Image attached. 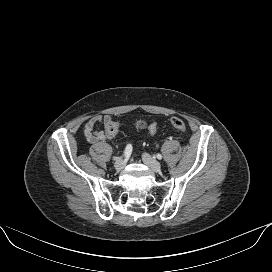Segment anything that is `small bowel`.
<instances>
[{"label":"small bowel","instance_id":"1","mask_svg":"<svg viewBox=\"0 0 272 272\" xmlns=\"http://www.w3.org/2000/svg\"><path fill=\"white\" fill-rule=\"evenodd\" d=\"M113 119L110 115H95L88 120L85 124L83 133L86 140L90 144H96L98 142L105 141L108 137L106 131L97 130L98 125H103L105 130L113 123Z\"/></svg>","mask_w":272,"mask_h":272}]
</instances>
